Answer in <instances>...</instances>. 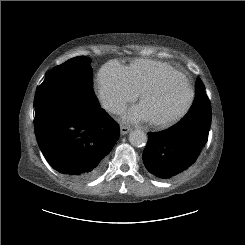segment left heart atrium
<instances>
[{
  "instance_id": "1",
  "label": "left heart atrium",
  "mask_w": 245,
  "mask_h": 245,
  "mask_svg": "<svg viewBox=\"0 0 245 245\" xmlns=\"http://www.w3.org/2000/svg\"><path fill=\"white\" fill-rule=\"evenodd\" d=\"M124 120L133 122V123H137L140 121H148L149 119L142 105H138V106L132 107L125 113Z\"/></svg>"
}]
</instances>
